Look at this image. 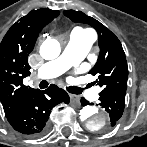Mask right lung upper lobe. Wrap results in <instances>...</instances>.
I'll return each mask as SVG.
<instances>
[{"instance_id": "1", "label": "right lung upper lobe", "mask_w": 147, "mask_h": 147, "mask_svg": "<svg viewBox=\"0 0 147 147\" xmlns=\"http://www.w3.org/2000/svg\"><path fill=\"white\" fill-rule=\"evenodd\" d=\"M59 13L50 9L31 11L9 29L0 43V101L5 114L21 107L38 91L23 84V78L30 75L28 55L39 32Z\"/></svg>"}]
</instances>
